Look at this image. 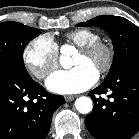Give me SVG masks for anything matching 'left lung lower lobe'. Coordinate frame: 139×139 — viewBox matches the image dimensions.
Returning <instances> with one entry per match:
<instances>
[{"label":"left lung lower lobe","instance_id":"obj_1","mask_svg":"<svg viewBox=\"0 0 139 139\" xmlns=\"http://www.w3.org/2000/svg\"><path fill=\"white\" fill-rule=\"evenodd\" d=\"M110 92L105 100L99 97ZM89 95L94 108L85 118L96 139H129L139 130V58L128 62Z\"/></svg>","mask_w":139,"mask_h":139}]
</instances>
